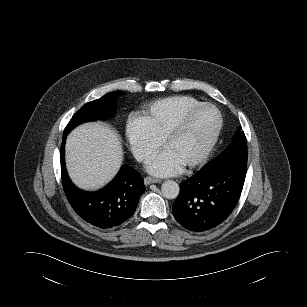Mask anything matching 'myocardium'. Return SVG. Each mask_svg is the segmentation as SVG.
<instances>
[{
    "label": "myocardium",
    "instance_id": "myocardium-1",
    "mask_svg": "<svg viewBox=\"0 0 307 307\" xmlns=\"http://www.w3.org/2000/svg\"><path fill=\"white\" fill-rule=\"evenodd\" d=\"M203 108H208L215 112L217 116V125L215 127V130L212 136L208 140L203 150L196 157H194L193 159H191L190 161H188L187 163L183 165L186 168H193V167L200 165L210 156V154L214 150L217 144V141L219 139V136L222 130V126H223V117H222L220 110L211 103L203 102V103H198L196 105H193L190 108H188L186 111L183 112V114L178 118L175 124L167 131V133L164 135L162 139L163 147H165L166 144L170 140L178 136L184 130L192 114L195 113L197 110L203 109Z\"/></svg>",
    "mask_w": 307,
    "mask_h": 307
}]
</instances>
